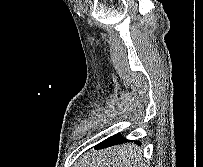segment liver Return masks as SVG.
<instances>
[{
    "label": "liver",
    "mask_w": 203,
    "mask_h": 167,
    "mask_svg": "<svg viewBox=\"0 0 203 167\" xmlns=\"http://www.w3.org/2000/svg\"><path fill=\"white\" fill-rule=\"evenodd\" d=\"M75 167H144L136 145L126 144L87 152Z\"/></svg>",
    "instance_id": "obj_1"
}]
</instances>
